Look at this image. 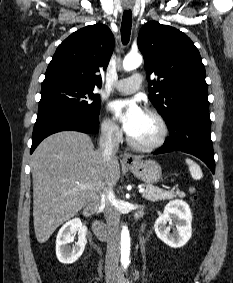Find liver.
I'll list each match as a JSON object with an SVG mask.
<instances>
[{
    "mask_svg": "<svg viewBox=\"0 0 233 283\" xmlns=\"http://www.w3.org/2000/svg\"><path fill=\"white\" fill-rule=\"evenodd\" d=\"M33 219L39 243L46 242L65 221L74 217L103 188L120 178L118 158L105 164L91 138L62 131L44 139L32 155ZM78 184H90L81 189Z\"/></svg>",
    "mask_w": 233,
    "mask_h": 283,
    "instance_id": "1",
    "label": "liver"
}]
</instances>
